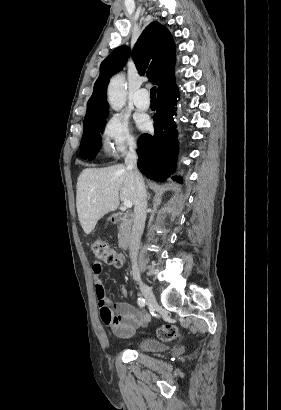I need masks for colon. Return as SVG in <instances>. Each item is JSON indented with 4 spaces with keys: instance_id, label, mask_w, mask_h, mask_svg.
Here are the masks:
<instances>
[{
    "instance_id": "1",
    "label": "colon",
    "mask_w": 281,
    "mask_h": 410,
    "mask_svg": "<svg viewBox=\"0 0 281 410\" xmlns=\"http://www.w3.org/2000/svg\"><path fill=\"white\" fill-rule=\"evenodd\" d=\"M94 255L99 260H102L106 264L113 265L115 267H121L123 264V257L121 254L110 249L105 242L95 241L92 245ZM105 325L111 329L115 328L118 324L117 318L112 315L111 312H105L102 318ZM157 336L162 341H172L179 337V329L175 325H165L157 329Z\"/></svg>"
}]
</instances>
